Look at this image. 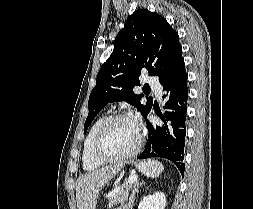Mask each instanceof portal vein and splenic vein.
Masks as SVG:
<instances>
[{
    "label": "portal vein and splenic vein",
    "instance_id": "obj_1",
    "mask_svg": "<svg viewBox=\"0 0 253 209\" xmlns=\"http://www.w3.org/2000/svg\"><path fill=\"white\" fill-rule=\"evenodd\" d=\"M136 180H137V176L136 175H131L128 178V184H133L134 182H136Z\"/></svg>",
    "mask_w": 253,
    "mask_h": 209
}]
</instances>
